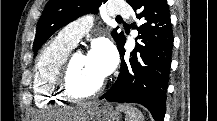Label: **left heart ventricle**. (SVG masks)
<instances>
[{"label": "left heart ventricle", "instance_id": "left-heart-ventricle-1", "mask_svg": "<svg viewBox=\"0 0 217 121\" xmlns=\"http://www.w3.org/2000/svg\"><path fill=\"white\" fill-rule=\"evenodd\" d=\"M103 80L97 69L91 64L87 56L76 54L71 74L70 83L72 89L80 94L93 91Z\"/></svg>", "mask_w": 217, "mask_h": 121}]
</instances>
